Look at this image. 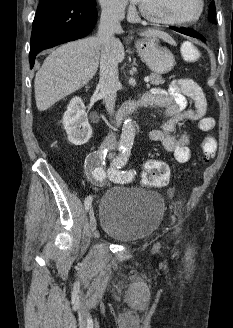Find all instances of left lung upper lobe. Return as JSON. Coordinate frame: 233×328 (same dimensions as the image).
I'll list each match as a JSON object with an SVG mask.
<instances>
[{
	"mask_svg": "<svg viewBox=\"0 0 233 328\" xmlns=\"http://www.w3.org/2000/svg\"><path fill=\"white\" fill-rule=\"evenodd\" d=\"M215 12H216L215 4H214V1H212L209 5V20L213 24H216Z\"/></svg>",
	"mask_w": 233,
	"mask_h": 328,
	"instance_id": "left-lung-upper-lobe-1",
	"label": "left lung upper lobe"
}]
</instances>
